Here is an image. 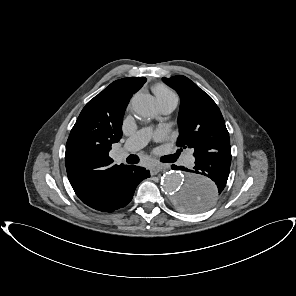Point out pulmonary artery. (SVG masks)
Wrapping results in <instances>:
<instances>
[{"instance_id": "e3ab8cb5", "label": "pulmonary artery", "mask_w": 296, "mask_h": 296, "mask_svg": "<svg viewBox=\"0 0 296 296\" xmlns=\"http://www.w3.org/2000/svg\"><path fill=\"white\" fill-rule=\"evenodd\" d=\"M177 96H172L166 99L159 100V108L162 114L171 113L177 106ZM151 137V129L143 128L133 133L125 142L122 151V156L128 152H134L144 147ZM195 162V157L192 151L186 153L183 163L186 166H192Z\"/></svg>"}]
</instances>
